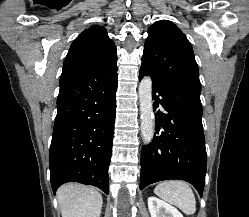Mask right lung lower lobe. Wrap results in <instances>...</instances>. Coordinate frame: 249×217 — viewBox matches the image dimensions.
Instances as JSON below:
<instances>
[{
    "label": "right lung lower lobe",
    "instance_id": "98d812e1",
    "mask_svg": "<svg viewBox=\"0 0 249 217\" xmlns=\"http://www.w3.org/2000/svg\"><path fill=\"white\" fill-rule=\"evenodd\" d=\"M116 61L101 69L62 73L50 146L53 192L66 182L109 193L116 117Z\"/></svg>",
    "mask_w": 249,
    "mask_h": 217
}]
</instances>
